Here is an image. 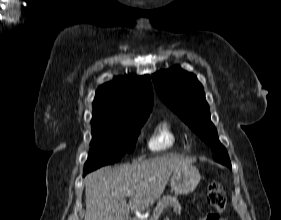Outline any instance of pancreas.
<instances>
[{
	"label": "pancreas",
	"mask_w": 281,
	"mask_h": 220,
	"mask_svg": "<svg viewBox=\"0 0 281 220\" xmlns=\"http://www.w3.org/2000/svg\"><path fill=\"white\" fill-rule=\"evenodd\" d=\"M167 207H171L174 209L175 212H181V206L176 196L167 195L162 197L158 202L153 211V215L150 217L149 220H159V217L163 213L164 209Z\"/></svg>",
	"instance_id": "pancreas-1"
}]
</instances>
